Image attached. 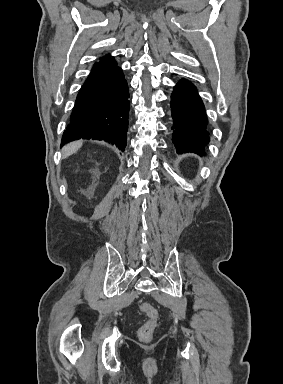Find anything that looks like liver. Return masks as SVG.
I'll list each match as a JSON object with an SVG mask.
<instances>
[{
	"label": "liver",
	"instance_id": "liver-1",
	"mask_svg": "<svg viewBox=\"0 0 283 384\" xmlns=\"http://www.w3.org/2000/svg\"><path fill=\"white\" fill-rule=\"evenodd\" d=\"M83 144V140H79V142H71V144H67L62 148V158H69L72 154H76L77 150H80Z\"/></svg>",
	"mask_w": 283,
	"mask_h": 384
}]
</instances>
